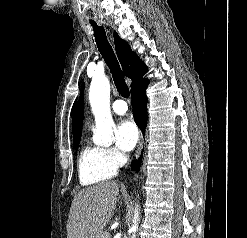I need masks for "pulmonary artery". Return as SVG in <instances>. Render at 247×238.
Wrapping results in <instances>:
<instances>
[{"mask_svg": "<svg viewBox=\"0 0 247 238\" xmlns=\"http://www.w3.org/2000/svg\"><path fill=\"white\" fill-rule=\"evenodd\" d=\"M112 110L116 114L122 115L127 112L128 106L124 100H116L112 104Z\"/></svg>", "mask_w": 247, "mask_h": 238, "instance_id": "1", "label": "pulmonary artery"}]
</instances>
